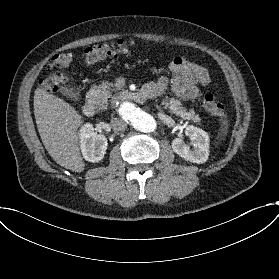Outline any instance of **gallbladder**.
<instances>
[{
    "label": "gallbladder",
    "instance_id": "bac80fb5",
    "mask_svg": "<svg viewBox=\"0 0 279 279\" xmlns=\"http://www.w3.org/2000/svg\"><path fill=\"white\" fill-rule=\"evenodd\" d=\"M60 92L64 96H66L74 101H78L80 99V90L78 88L70 87V86H61Z\"/></svg>",
    "mask_w": 279,
    "mask_h": 279
}]
</instances>
